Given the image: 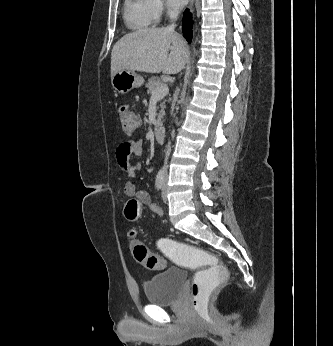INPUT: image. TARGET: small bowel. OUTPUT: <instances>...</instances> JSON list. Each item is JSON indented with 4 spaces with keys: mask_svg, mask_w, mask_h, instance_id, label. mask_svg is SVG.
Masks as SVG:
<instances>
[{
    "mask_svg": "<svg viewBox=\"0 0 333 346\" xmlns=\"http://www.w3.org/2000/svg\"><path fill=\"white\" fill-rule=\"evenodd\" d=\"M143 151L144 144L141 139L122 142L116 149L117 163L123 169L127 178L130 179L125 183L123 192L126 196L136 197L142 205L148 206L152 212L161 215L162 209L151 202L150 195L146 191L138 189L135 183L131 181V179L136 176L140 166L139 164L131 165L130 157L132 155L140 156Z\"/></svg>",
    "mask_w": 333,
    "mask_h": 346,
    "instance_id": "small-bowel-1",
    "label": "small bowel"
}]
</instances>
